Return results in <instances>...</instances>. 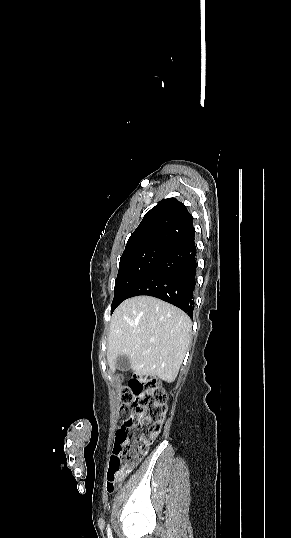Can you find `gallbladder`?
<instances>
[{"label":"gallbladder","instance_id":"obj_1","mask_svg":"<svg viewBox=\"0 0 291 538\" xmlns=\"http://www.w3.org/2000/svg\"><path fill=\"white\" fill-rule=\"evenodd\" d=\"M116 368L119 371H128L130 369V360L126 355H120L116 359Z\"/></svg>","mask_w":291,"mask_h":538}]
</instances>
